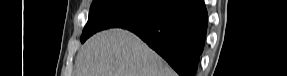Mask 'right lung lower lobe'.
<instances>
[{
  "mask_svg": "<svg viewBox=\"0 0 287 76\" xmlns=\"http://www.w3.org/2000/svg\"><path fill=\"white\" fill-rule=\"evenodd\" d=\"M179 74L195 76L207 31L204 0H170L146 23L128 28Z\"/></svg>",
  "mask_w": 287,
  "mask_h": 76,
  "instance_id": "obj_1",
  "label": "right lung lower lobe"
}]
</instances>
